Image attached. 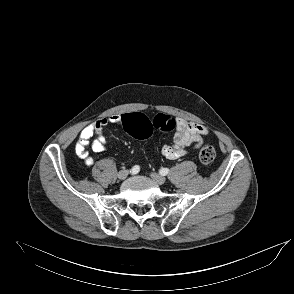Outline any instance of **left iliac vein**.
Listing matches in <instances>:
<instances>
[{
  "label": "left iliac vein",
  "instance_id": "4c4485c4",
  "mask_svg": "<svg viewBox=\"0 0 294 294\" xmlns=\"http://www.w3.org/2000/svg\"><path fill=\"white\" fill-rule=\"evenodd\" d=\"M151 177L159 185H162V184H164L166 182V178L163 177V176H161V175H159V174L151 173Z\"/></svg>",
  "mask_w": 294,
  "mask_h": 294
}]
</instances>
